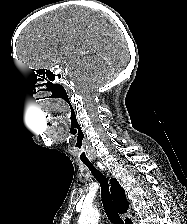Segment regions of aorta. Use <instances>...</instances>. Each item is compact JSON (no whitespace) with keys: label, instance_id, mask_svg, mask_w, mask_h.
<instances>
[{"label":"aorta","instance_id":"762f6f07","mask_svg":"<svg viewBox=\"0 0 187 224\" xmlns=\"http://www.w3.org/2000/svg\"><path fill=\"white\" fill-rule=\"evenodd\" d=\"M100 213L96 209L82 210L78 224H98Z\"/></svg>","mask_w":187,"mask_h":224}]
</instances>
